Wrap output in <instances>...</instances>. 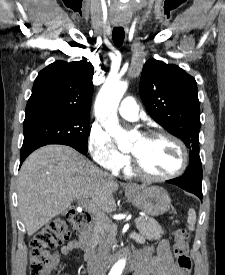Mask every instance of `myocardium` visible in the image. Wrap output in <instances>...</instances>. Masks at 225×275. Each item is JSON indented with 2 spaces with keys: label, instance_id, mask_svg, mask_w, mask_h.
I'll return each mask as SVG.
<instances>
[{
  "label": "myocardium",
  "instance_id": "obj_1",
  "mask_svg": "<svg viewBox=\"0 0 225 275\" xmlns=\"http://www.w3.org/2000/svg\"><path fill=\"white\" fill-rule=\"evenodd\" d=\"M144 137L147 139L165 138L172 141L178 147L181 153V163L175 171L169 174L153 175L146 172L141 166L138 158L134 154H132V169L136 175L150 181H166V180L176 178L187 169L188 163H189L188 151L185 144L179 138H177L176 136L170 133L163 132V131H152L145 134Z\"/></svg>",
  "mask_w": 225,
  "mask_h": 275
}]
</instances>
